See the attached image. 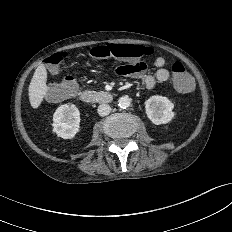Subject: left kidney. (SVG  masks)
Masks as SVG:
<instances>
[{
	"label": "left kidney",
	"mask_w": 232,
	"mask_h": 232,
	"mask_svg": "<svg viewBox=\"0 0 232 232\" xmlns=\"http://www.w3.org/2000/svg\"><path fill=\"white\" fill-rule=\"evenodd\" d=\"M173 103L165 96L154 95L145 102L147 117L156 125L166 124L174 117Z\"/></svg>",
	"instance_id": "1"
}]
</instances>
